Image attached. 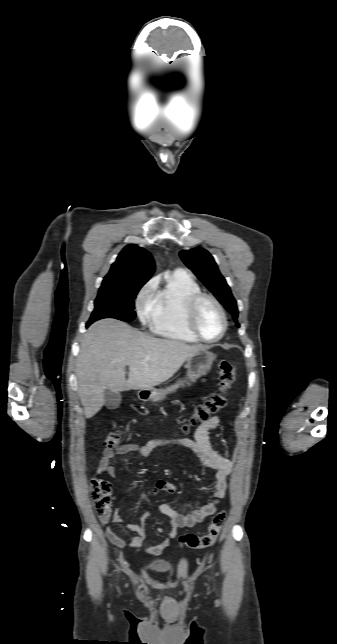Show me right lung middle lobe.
I'll return each instance as SVG.
<instances>
[{
	"instance_id": "1",
	"label": "right lung middle lobe",
	"mask_w": 337,
	"mask_h": 644,
	"mask_svg": "<svg viewBox=\"0 0 337 644\" xmlns=\"http://www.w3.org/2000/svg\"><path fill=\"white\" fill-rule=\"evenodd\" d=\"M144 284L130 286L100 287L94 302L95 308L87 326L103 318H115L130 322L134 320V299Z\"/></svg>"
}]
</instances>
